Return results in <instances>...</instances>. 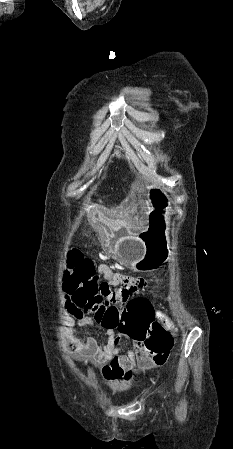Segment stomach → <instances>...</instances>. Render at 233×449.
<instances>
[{"label": "stomach", "mask_w": 233, "mask_h": 449, "mask_svg": "<svg viewBox=\"0 0 233 449\" xmlns=\"http://www.w3.org/2000/svg\"><path fill=\"white\" fill-rule=\"evenodd\" d=\"M150 199L154 208L148 213L147 227L145 223H132L139 220L138 212H100L93 208L88 214L91 224L104 230L105 252L136 272L155 271L170 255L168 200L157 189L150 190ZM109 206L114 210L118 205L113 201ZM119 208L128 210L130 203L121 201Z\"/></svg>", "instance_id": "obj_1"}]
</instances>
